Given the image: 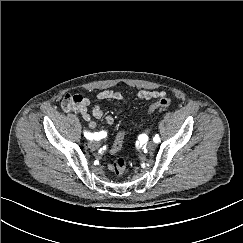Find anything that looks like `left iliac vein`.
<instances>
[{
    "label": "left iliac vein",
    "instance_id": "left-iliac-vein-1",
    "mask_svg": "<svg viewBox=\"0 0 243 243\" xmlns=\"http://www.w3.org/2000/svg\"><path fill=\"white\" fill-rule=\"evenodd\" d=\"M156 148V144L153 141H149L147 143V149L148 150H154Z\"/></svg>",
    "mask_w": 243,
    "mask_h": 243
}]
</instances>
